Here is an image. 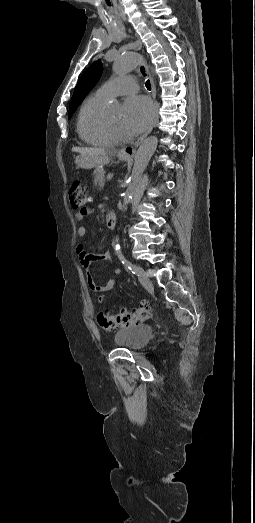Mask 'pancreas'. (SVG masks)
<instances>
[{
    "mask_svg": "<svg viewBox=\"0 0 255 523\" xmlns=\"http://www.w3.org/2000/svg\"><path fill=\"white\" fill-rule=\"evenodd\" d=\"M104 174H105V172H103V170H99V168H97V170H94V172H93L94 186H100V188H103V186L105 184Z\"/></svg>",
    "mask_w": 255,
    "mask_h": 523,
    "instance_id": "pancreas-1",
    "label": "pancreas"
}]
</instances>
